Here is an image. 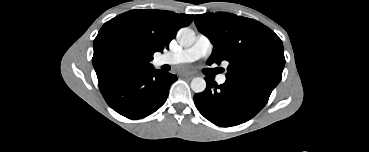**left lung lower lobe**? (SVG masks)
I'll return each mask as SVG.
<instances>
[{"instance_id": "obj_1", "label": "left lung lower lobe", "mask_w": 369, "mask_h": 152, "mask_svg": "<svg viewBox=\"0 0 369 152\" xmlns=\"http://www.w3.org/2000/svg\"><path fill=\"white\" fill-rule=\"evenodd\" d=\"M205 80L206 89L194 96L195 106L206 119L222 127L250 120L266 105L273 90L228 79L222 85Z\"/></svg>"}]
</instances>
